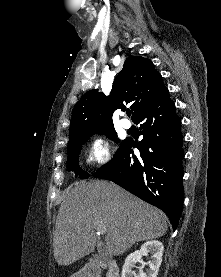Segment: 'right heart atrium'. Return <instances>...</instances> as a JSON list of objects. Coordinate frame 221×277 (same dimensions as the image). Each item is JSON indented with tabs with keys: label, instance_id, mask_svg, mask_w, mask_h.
Masks as SVG:
<instances>
[{
	"label": "right heart atrium",
	"instance_id": "1",
	"mask_svg": "<svg viewBox=\"0 0 221 277\" xmlns=\"http://www.w3.org/2000/svg\"><path fill=\"white\" fill-rule=\"evenodd\" d=\"M109 144L103 137L95 138L88 147L86 162L89 165L101 164L109 159Z\"/></svg>",
	"mask_w": 221,
	"mask_h": 277
}]
</instances>
